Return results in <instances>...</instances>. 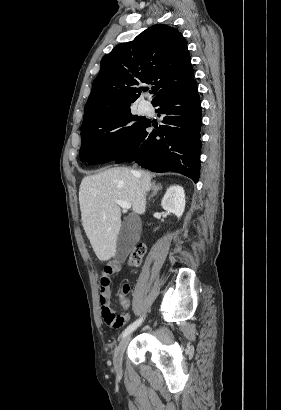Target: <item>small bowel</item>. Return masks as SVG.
<instances>
[{
    "instance_id": "obj_1",
    "label": "small bowel",
    "mask_w": 281,
    "mask_h": 410,
    "mask_svg": "<svg viewBox=\"0 0 281 410\" xmlns=\"http://www.w3.org/2000/svg\"><path fill=\"white\" fill-rule=\"evenodd\" d=\"M121 269V265L119 263H108L104 266L100 278H99V289L100 295L99 300L101 304V311L102 314L105 312L106 309L110 308V278L111 275L118 273ZM111 309V308H110ZM122 317V324L126 322L127 316L121 315Z\"/></svg>"
}]
</instances>
